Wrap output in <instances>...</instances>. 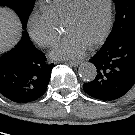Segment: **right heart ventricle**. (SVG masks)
<instances>
[{
	"label": "right heart ventricle",
	"instance_id": "e07e8e85",
	"mask_svg": "<svg viewBox=\"0 0 135 135\" xmlns=\"http://www.w3.org/2000/svg\"><path fill=\"white\" fill-rule=\"evenodd\" d=\"M76 1L77 0H46L43 11L55 24L62 25Z\"/></svg>",
	"mask_w": 135,
	"mask_h": 135
}]
</instances>
